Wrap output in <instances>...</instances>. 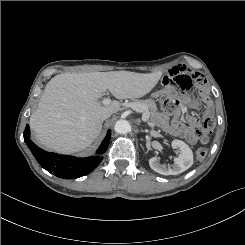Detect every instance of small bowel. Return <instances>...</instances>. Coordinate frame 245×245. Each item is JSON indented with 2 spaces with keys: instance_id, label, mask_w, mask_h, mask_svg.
Returning a JSON list of instances; mask_svg holds the SVG:
<instances>
[{
  "instance_id": "c3829d8e",
  "label": "small bowel",
  "mask_w": 245,
  "mask_h": 245,
  "mask_svg": "<svg viewBox=\"0 0 245 245\" xmlns=\"http://www.w3.org/2000/svg\"><path fill=\"white\" fill-rule=\"evenodd\" d=\"M205 78L202 74L192 71L186 66L178 65L169 70L166 76L159 80V85L163 89L172 88L174 85L179 86L183 92H190L193 87L205 89ZM199 108L204 113H209L207 105H200ZM183 108L177 110L173 114V119L170 121L166 114L158 116L159 126L168 134L180 137L189 144H195L197 141L196 131L200 126V120L194 115H188L187 124L180 119V114Z\"/></svg>"
}]
</instances>
